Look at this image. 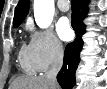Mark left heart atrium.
I'll return each instance as SVG.
<instances>
[{"instance_id":"39dd6f15","label":"left heart atrium","mask_w":107,"mask_h":89,"mask_svg":"<svg viewBox=\"0 0 107 89\" xmlns=\"http://www.w3.org/2000/svg\"><path fill=\"white\" fill-rule=\"evenodd\" d=\"M56 30L58 36L64 41H68L72 36V29L67 18H61L57 22Z\"/></svg>"}]
</instances>
